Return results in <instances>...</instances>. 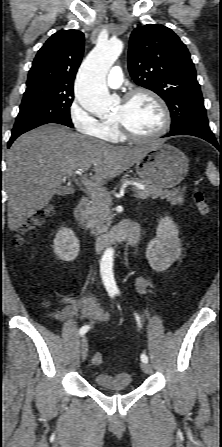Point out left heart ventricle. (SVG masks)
<instances>
[{
	"instance_id": "left-heart-ventricle-1",
	"label": "left heart ventricle",
	"mask_w": 222,
	"mask_h": 447,
	"mask_svg": "<svg viewBox=\"0 0 222 447\" xmlns=\"http://www.w3.org/2000/svg\"><path fill=\"white\" fill-rule=\"evenodd\" d=\"M114 117L121 118L134 133L139 135L153 134L163 123L160 107L146 95H138L127 104L121 102Z\"/></svg>"
}]
</instances>
